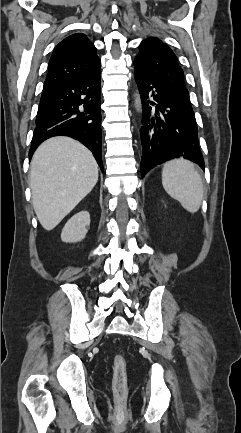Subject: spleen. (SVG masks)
<instances>
[{
    "instance_id": "3e777b00",
    "label": "spleen",
    "mask_w": 241,
    "mask_h": 433,
    "mask_svg": "<svg viewBox=\"0 0 241 433\" xmlns=\"http://www.w3.org/2000/svg\"><path fill=\"white\" fill-rule=\"evenodd\" d=\"M162 185L167 194L190 213H196L203 199V183L194 164L179 158L165 163Z\"/></svg>"
}]
</instances>
